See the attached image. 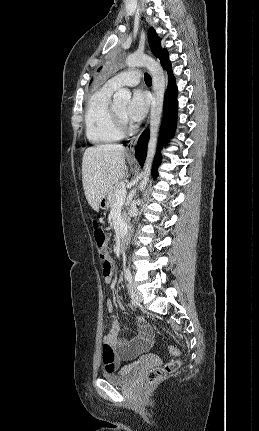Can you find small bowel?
<instances>
[{
	"label": "small bowel",
	"instance_id": "obj_1",
	"mask_svg": "<svg viewBox=\"0 0 259 431\" xmlns=\"http://www.w3.org/2000/svg\"><path fill=\"white\" fill-rule=\"evenodd\" d=\"M101 272L103 282L110 283L113 280L111 267L104 266ZM105 306L111 315L112 324L109 332L104 336V342L111 347L112 356L108 358L103 352V362L107 370L109 368L113 370L121 361L131 360L149 350L152 346L153 338L152 331L146 320L142 316H138L136 318L138 335L130 339H120V323L114 314L113 302L107 299Z\"/></svg>",
	"mask_w": 259,
	"mask_h": 431
}]
</instances>
